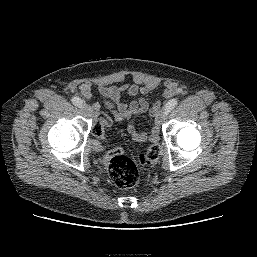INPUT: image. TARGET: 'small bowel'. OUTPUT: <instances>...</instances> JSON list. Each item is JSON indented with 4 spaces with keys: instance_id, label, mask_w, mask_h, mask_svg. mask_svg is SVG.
Returning a JSON list of instances; mask_svg holds the SVG:
<instances>
[{
    "instance_id": "small-bowel-1",
    "label": "small bowel",
    "mask_w": 257,
    "mask_h": 257,
    "mask_svg": "<svg viewBox=\"0 0 257 257\" xmlns=\"http://www.w3.org/2000/svg\"><path fill=\"white\" fill-rule=\"evenodd\" d=\"M158 86L157 82H150L145 85L123 84V85H97L91 83H83L80 86V95L88 102L92 112L97 113L100 109V104L94 99V91L96 90L104 99V105L109 110L112 118L117 122L126 123L127 130L134 141L144 142L150 140L155 142L158 139V126L154 122L149 133L139 131L134 123L133 117L138 114L149 113L154 119L160 109L159 103H155L149 107L148 102L140 97L130 103H124L122 97L124 95L138 96L148 94ZM177 93V87L172 82H167L165 85L164 95L171 97ZM107 115H98V122H103Z\"/></svg>"
}]
</instances>
